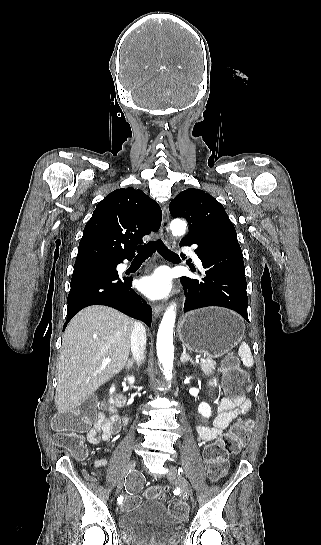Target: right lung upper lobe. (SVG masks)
I'll return each mask as SVG.
<instances>
[{"label":"right lung upper lobe","mask_w":321,"mask_h":545,"mask_svg":"<svg viewBox=\"0 0 321 545\" xmlns=\"http://www.w3.org/2000/svg\"><path fill=\"white\" fill-rule=\"evenodd\" d=\"M160 206L141 190L121 188L96 206L86 224L74 268L132 259L142 237L160 228Z\"/></svg>","instance_id":"1"}]
</instances>
